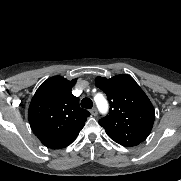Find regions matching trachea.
<instances>
[{
	"label": "trachea",
	"mask_w": 181,
	"mask_h": 181,
	"mask_svg": "<svg viewBox=\"0 0 181 181\" xmlns=\"http://www.w3.org/2000/svg\"><path fill=\"white\" fill-rule=\"evenodd\" d=\"M92 106H93V102L90 98H84L81 101V107L82 108L90 109V108H92Z\"/></svg>",
	"instance_id": "3493384b"
}]
</instances>
